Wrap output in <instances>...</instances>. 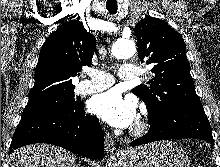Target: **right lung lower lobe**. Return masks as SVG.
Wrapping results in <instances>:
<instances>
[{"label": "right lung lower lobe", "mask_w": 220, "mask_h": 167, "mask_svg": "<svg viewBox=\"0 0 220 167\" xmlns=\"http://www.w3.org/2000/svg\"><path fill=\"white\" fill-rule=\"evenodd\" d=\"M104 135L99 120L85 114L83 102L73 108L52 105L24 111L9 152L34 143H49L90 158H102Z\"/></svg>", "instance_id": "right-lung-lower-lobe-1"}]
</instances>
